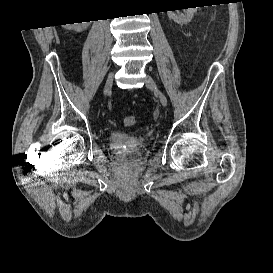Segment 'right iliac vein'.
<instances>
[{
	"label": "right iliac vein",
	"mask_w": 273,
	"mask_h": 273,
	"mask_svg": "<svg viewBox=\"0 0 273 273\" xmlns=\"http://www.w3.org/2000/svg\"><path fill=\"white\" fill-rule=\"evenodd\" d=\"M113 79H114V73H110L107 77V80L104 86V90H103L104 95H106V93L112 88Z\"/></svg>",
	"instance_id": "63e3f726"
}]
</instances>
